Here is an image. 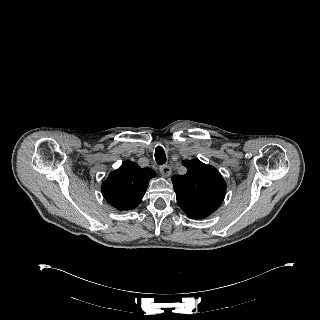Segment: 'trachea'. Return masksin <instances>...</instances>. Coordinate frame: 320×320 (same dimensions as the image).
I'll use <instances>...</instances> for the list:
<instances>
[{
  "label": "trachea",
  "mask_w": 320,
  "mask_h": 320,
  "mask_svg": "<svg viewBox=\"0 0 320 320\" xmlns=\"http://www.w3.org/2000/svg\"><path fill=\"white\" fill-rule=\"evenodd\" d=\"M155 160L159 165H163L166 163V154L161 146H157L155 149Z\"/></svg>",
  "instance_id": "1"
}]
</instances>
